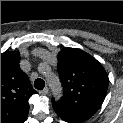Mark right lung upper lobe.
Segmentation results:
<instances>
[{
  "instance_id": "obj_1",
  "label": "right lung upper lobe",
  "mask_w": 123,
  "mask_h": 123,
  "mask_svg": "<svg viewBox=\"0 0 123 123\" xmlns=\"http://www.w3.org/2000/svg\"><path fill=\"white\" fill-rule=\"evenodd\" d=\"M20 54H1V123H23L29 112L28 99L37 93L19 67Z\"/></svg>"
}]
</instances>
